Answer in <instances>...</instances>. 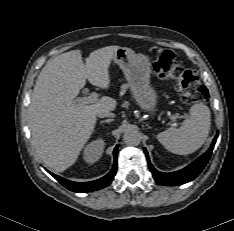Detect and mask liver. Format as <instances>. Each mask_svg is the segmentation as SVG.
<instances>
[{"label": "liver", "mask_w": 234, "mask_h": 231, "mask_svg": "<svg viewBox=\"0 0 234 231\" xmlns=\"http://www.w3.org/2000/svg\"><path fill=\"white\" fill-rule=\"evenodd\" d=\"M120 46L90 53L83 63L80 50L58 55L41 70L29 106L32 145L40 160L55 172H63L77 160L91 137L96 116L113 111L116 101L104 96L93 104L77 102L86 79L102 89L110 85L109 67Z\"/></svg>", "instance_id": "6515ba94"}]
</instances>
